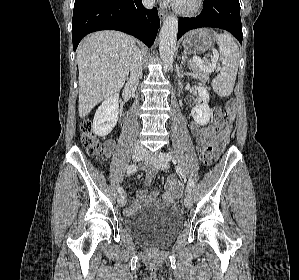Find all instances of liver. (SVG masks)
Instances as JSON below:
<instances>
[{"instance_id":"liver-1","label":"liver","mask_w":299,"mask_h":280,"mask_svg":"<svg viewBox=\"0 0 299 280\" xmlns=\"http://www.w3.org/2000/svg\"><path fill=\"white\" fill-rule=\"evenodd\" d=\"M136 49L133 37L118 31H99L83 39L77 50L80 118L123 87Z\"/></svg>"}]
</instances>
